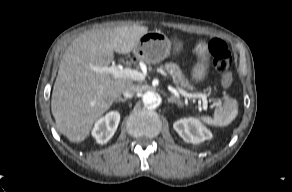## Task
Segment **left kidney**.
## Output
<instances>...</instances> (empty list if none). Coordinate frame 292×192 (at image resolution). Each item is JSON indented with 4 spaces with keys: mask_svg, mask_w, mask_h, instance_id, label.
<instances>
[{
    "mask_svg": "<svg viewBox=\"0 0 292 192\" xmlns=\"http://www.w3.org/2000/svg\"><path fill=\"white\" fill-rule=\"evenodd\" d=\"M173 127L185 142L199 144L212 138L210 130L194 118L180 119L174 122Z\"/></svg>",
    "mask_w": 292,
    "mask_h": 192,
    "instance_id": "obj_1",
    "label": "left kidney"
}]
</instances>
